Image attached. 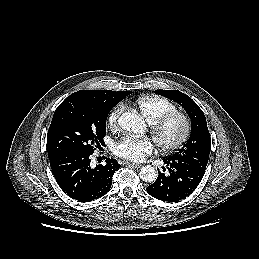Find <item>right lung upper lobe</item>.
<instances>
[{"mask_svg": "<svg viewBox=\"0 0 259 259\" xmlns=\"http://www.w3.org/2000/svg\"><path fill=\"white\" fill-rule=\"evenodd\" d=\"M131 91H110V90H98V91H93V90H80L72 95H82V96H87L91 98H95L98 100H103L106 102H111L117 104L121 100H123L126 96L131 94Z\"/></svg>", "mask_w": 259, "mask_h": 259, "instance_id": "1", "label": "right lung upper lobe"}]
</instances>
